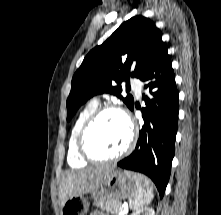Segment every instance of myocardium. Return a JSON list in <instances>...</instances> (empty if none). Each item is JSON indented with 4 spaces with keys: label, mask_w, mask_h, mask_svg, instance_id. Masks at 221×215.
Listing matches in <instances>:
<instances>
[{
    "label": "myocardium",
    "mask_w": 221,
    "mask_h": 215,
    "mask_svg": "<svg viewBox=\"0 0 221 215\" xmlns=\"http://www.w3.org/2000/svg\"><path fill=\"white\" fill-rule=\"evenodd\" d=\"M106 112H115L119 114L125 123L128 126L129 130V139L128 143L125 146L123 150H121L119 153L109 156V157H98L93 155L87 147L86 140L89 130L91 129L92 125L95 123V121L104 113ZM137 141V128L132 121V119L129 117V115L120 107L113 105V104H105L98 106L85 120L83 123L78 136H77V151L79 155L87 162H93V163H104V162H113L117 161L126 155H128L134 148Z\"/></svg>",
    "instance_id": "1"
}]
</instances>
